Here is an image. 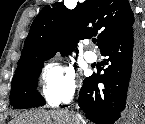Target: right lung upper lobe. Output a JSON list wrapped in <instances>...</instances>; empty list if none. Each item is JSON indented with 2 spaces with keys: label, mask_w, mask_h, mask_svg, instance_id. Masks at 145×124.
<instances>
[{
  "label": "right lung upper lobe",
  "mask_w": 145,
  "mask_h": 124,
  "mask_svg": "<svg viewBox=\"0 0 145 124\" xmlns=\"http://www.w3.org/2000/svg\"><path fill=\"white\" fill-rule=\"evenodd\" d=\"M135 24L128 0H86L68 10L57 2L44 7L33 21L24 42L16 73L61 52L75 49L78 40L98 35L101 49L109 40L124 34Z\"/></svg>",
  "instance_id": "1"
}]
</instances>
